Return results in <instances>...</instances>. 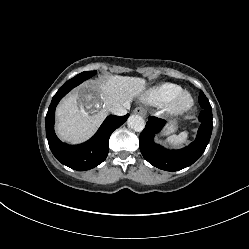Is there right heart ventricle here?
<instances>
[{
  "label": "right heart ventricle",
  "mask_w": 249,
  "mask_h": 249,
  "mask_svg": "<svg viewBox=\"0 0 249 249\" xmlns=\"http://www.w3.org/2000/svg\"><path fill=\"white\" fill-rule=\"evenodd\" d=\"M180 92H182V88L179 85L163 83L150 88L146 92L144 100L155 106L168 105Z\"/></svg>",
  "instance_id": "e07e8e85"
}]
</instances>
